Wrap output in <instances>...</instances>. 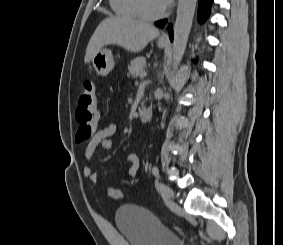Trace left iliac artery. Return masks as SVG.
Masks as SVG:
<instances>
[{"mask_svg": "<svg viewBox=\"0 0 283 245\" xmlns=\"http://www.w3.org/2000/svg\"><path fill=\"white\" fill-rule=\"evenodd\" d=\"M152 174L157 178V180H156V185H158V184H159V183H158V176H159V169H158V167L154 166V167L152 168Z\"/></svg>", "mask_w": 283, "mask_h": 245, "instance_id": "left-iliac-artery-1", "label": "left iliac artery"}]
</instances>
